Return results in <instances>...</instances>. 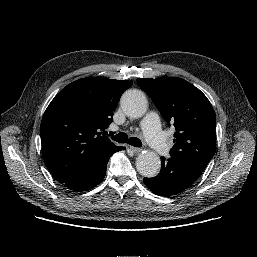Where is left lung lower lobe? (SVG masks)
<instances>
[{
  "mask_svg": "<svg viewBox=\"0 0 257 257\" xmlns=\"http://www.w3.org/2000/svg\"><path fill=\"white\" fill-rule=\"evenodd\" d=\"M161 171L153 178H144L146 186L156 195H176L191 186L203 172L174 157H161Z\"/></svg>",
  "mask_w": 257,
  "mask_h": 257,
  "instance_id": "0a47b994",
  "label": "left lung lower lobe"
}]
</instances>
